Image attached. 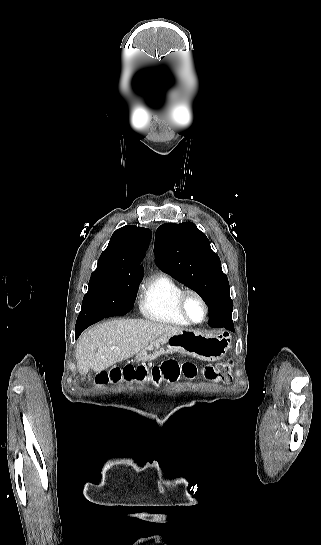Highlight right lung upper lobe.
I'll return each instance as SVG.
<instances>
[{
  "instance_id": "cb5924a9",
  "label": "right lung upper lobe",
  "mask_w": 321,
  "mask_h": 545,
  "mask_svg": "<svg viewBox=\"0 0 321 545\" xmlns=\"http://www.w3.org/2000/svg\"><path fill=\"white\" fill-rule=\"evenodd\" d=\"M151 236L149 229L133 225L116 230L93 273H105L123 281L141 282L143 267L140 262Z\"/></svg>"
}]
</instances>
